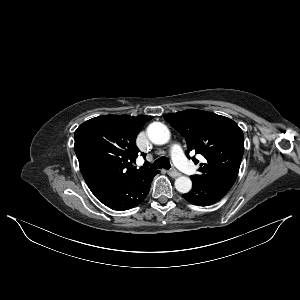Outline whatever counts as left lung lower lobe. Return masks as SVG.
Masks as SVG:
<instances>
[{
	"mask_svg": "<svg viewBox=\"0 0 300 300\" xmlns=\"http://www.w3.org/2000/svg\"><path fill=\"white\" fill-rule=\"evenodd\" d=\"M192 180V190L182 196L190 203L207 206L212 205L221 200L226 194L227 190L202 184L196 180Z\"/></svg>",
	"mask_w": 300,
	"mask_h": 300,
	"instance_id": "obj_1",
	"label": "left lung lower lobe"
}]
</instances>
